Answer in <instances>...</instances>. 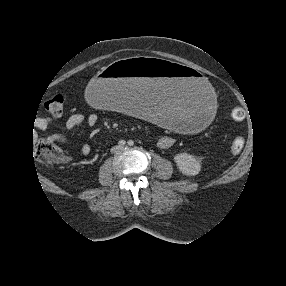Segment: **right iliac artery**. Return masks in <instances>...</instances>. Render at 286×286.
<instances>
[{
	"label": "right iliac artery",
	"instance_id": "82829eb1",
	"mask_svg": "<svg viewBox=\"0 0 286 286\" xmlns=\"http://www.w3.org/2000/svg\"><path fill=\"white\" fill-rule=\"evenodd\" d=\"M125 144H126V141H125V140H120V141L118 142L119 147H124Z\"/></svg>",
	"mask_w": 286,
	"mask_h": 286
}]
</instances>
